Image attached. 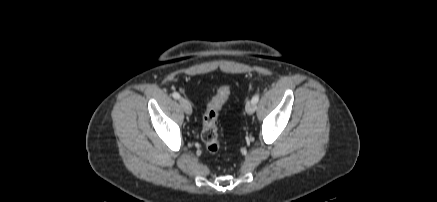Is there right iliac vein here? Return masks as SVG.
Wrapping results in <instances>:
<instances>
[{
	"label": "right iliac vein",
	"instance_id": "obj_1",
	"mask_svg": "<svg viewBox=\"0 0 437 202\" xmlns=\"http://www.w3.org/2000/svg\"><path fill=\"white\" fill-rule=\"evenodd\" d=\"M179 102H180V105L182 106L184 112L187 115H191L192 114L191 103L187 99H184V98H180Z\"/></svg>",
	"mask_w": 437,
	"mask_h": 202
}]
</instances>
